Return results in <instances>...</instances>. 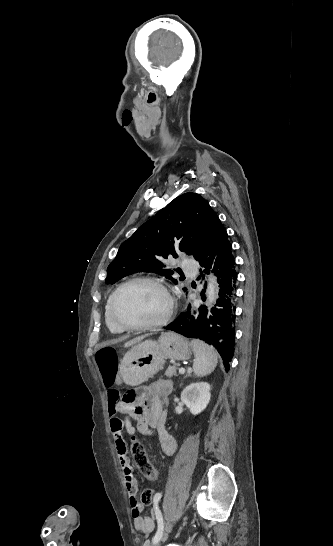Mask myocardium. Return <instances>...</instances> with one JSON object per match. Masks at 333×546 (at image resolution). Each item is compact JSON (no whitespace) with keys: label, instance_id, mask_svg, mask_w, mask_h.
Masks as SVG:
<instances>
[{"label":"myocardium","instance_id":"1","mask_svg":"<svg viewBox=\"0 0 333 546\" xmlns=\"http://www.w3.org/2000/svg\"><path fill=\"white\" fill-rule=\"evenodd\" d=\"M139 282L149 283L159 287L167 297L168 308L164 316L160 318L159 320L149 322V323H144V324H136V325L126 324L123 321H121L119 317L117 316V313H116L117 298L120 292L125 287H127L130 284L139 283ZM175 308H176L175 298L172 292L170 291V289L168 288V286L166 285V283L163 280L156 277H152V276H135L124 281L114 290L110 300V315H111L112 321L117 327H119L123 331H147V330H153V329L163 327L172 320V317L175 312Z\"/></svg>","mask_w":333,"mask_h":546}]
</instances>
